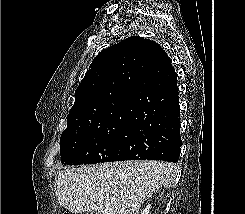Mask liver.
Listing matches in <instances>:
<instances>
[{
    "instance_id": "liver-1",
    "label": "liver",
    "mask_w": 245,
    "mask_h": 214,
    "mask_svg": "<svg viewBox=\"0 0 245 214\" xmlns=\"http://www.w3.org/2000/svg\"><path fill=\"white\" fill-rule=\"evenodd\" d=\"M176 166L159 161H126L68 168L57 178L59 204L71 213L138 214L141 204L168 188Z\"/></svg>"
}]
</instances>
